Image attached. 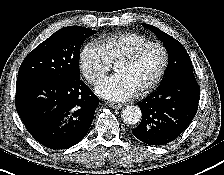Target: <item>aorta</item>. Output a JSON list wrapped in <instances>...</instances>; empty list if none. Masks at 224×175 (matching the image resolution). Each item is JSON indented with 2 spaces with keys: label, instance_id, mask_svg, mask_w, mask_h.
<instances>
[{
  "label": "aorta",
  "instance_id": "obj_1",
  "mask_svg": "<svg viewBox=\"0 0 224 175\" xmlns=\"http://www.w3.org/2000/svg\"><path fill=\"white\" fill-rule=\"evenodd\" d=\"M122 118L126 124L135 125L140 122L142 112L138 106L129 105L123 109Z\"/></svg>",
  "mask_w": 224,
  "mask_h": 175
}]
</instances>
